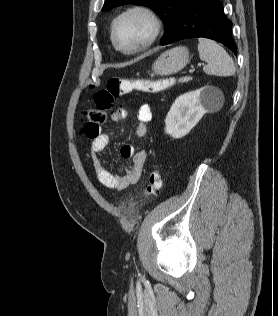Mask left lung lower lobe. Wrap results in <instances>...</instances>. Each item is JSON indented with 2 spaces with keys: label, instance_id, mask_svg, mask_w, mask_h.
Segmentation results:
<instances>
[{
  "label": "left lung lower lobe",
  "instance_id": "0a47b994",
  "mask_svg": "<svg viewBox=\"0 0 278 316\" xmlns=\"http://www.w3.org/2000/svg\"><path fill=\"white\" fill-rule=\"evenodd\" d=\"M231 31L232 22L225 17L219 0H188L173 32L161 45L205 37L222 43L236 55Z\"/></svg>",
  "mask_w": 278,
  "mask_h": 316
}]
</instances>
